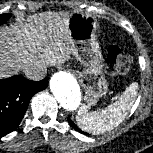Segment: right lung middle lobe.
<instances>
[{"instance_id":"right-lung-middle-lobe-1","label":"right lung middle lobe","mask_w":153,"mask_h":153,"mask_svg":"<svg viewBox=\"0 0 153 153\" xmlns=\"http://www.w3.org/2000/svg\"><path fill=\"white\" fill-rule=\"evenodd\" d=\"M10 17V14H0V25L5 23Z\"/></svg>"}]
</instances>
